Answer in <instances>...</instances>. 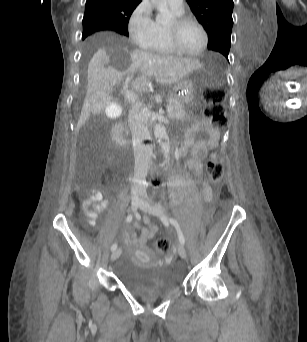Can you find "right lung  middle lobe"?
<instances>
[{
	"instance_id": "dd1d6c3e",
	"label": "right lung middle lobe",
	"mask_w": 307,
	"mask_h": 342,
	"mask_svg": "<svg viewBox=\"0 0 307 342\" xmlns=\"http://www.w3.org/2000/svg\"><path fill=\"white\" fill-rule=\"evenodd\" d=\"M109 30L107 25L102 21L101 17L94 13H85L83 18V34L82 39H85L91 33ZM122 35L128 36V31L117 30Z\"/></svg>"
}]
</instances>
